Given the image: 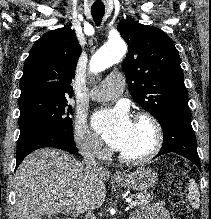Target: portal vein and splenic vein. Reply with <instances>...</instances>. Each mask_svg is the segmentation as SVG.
Wrapping results in <instances>:
<instances>
[{
	"mask_svg": "<svg viewBox=\"0 0 211 219\" xmlns=\"http://www.w3.org/2000/svg\"><path fill=\"white\" fill-rule=\"evenodd\" d=\"M128 202H129V208H133V207H135L136 204H137L135 201H133V200H131V199H129Z\"/></svg>",
	"mask_w": 211,
	"mask_h": 219,
	"instance_id": "18ae733b",
	"label": "portal vein and splenic vein"
}]
</instances>
